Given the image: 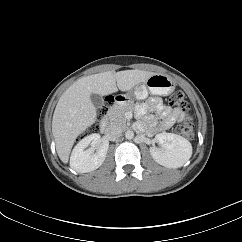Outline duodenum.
<instances>
[{"instance_id":"410a0bca","label":"duodenum","mask_w":242,"mask_h":242,"mask_svg":"<svg viewBox=\"0 0 242 242\" xmlns=\"http://www.w3.org/2000/svg\"><path fill=\"white\" fill-rule=\"evenodd\" d=\"M117 100H123V98H117ZM108 122H107V119L104 118L101 123H100V131L104 134H106L108 132Z\"/></svg>"}]
</instances>
